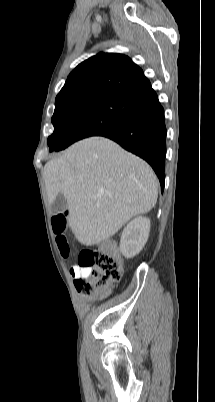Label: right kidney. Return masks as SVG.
<instances>
[{
  "mask_svg": "<svg viewBox=\"0 0 215 402\" xmlns=\"http://www.w3.org/2000/svg\"><path fill=\"white\" fill-rule=\"evenodd\" d=\"M150 231V220L138 217L124 228L120 241V251L126 258L139 254L146 244Z\"/></svg>",
  "mask_w": 215,
  "mask_h": 402,
  "instance_id": "1",
  "label": "right kidney"
}]
</instances>
